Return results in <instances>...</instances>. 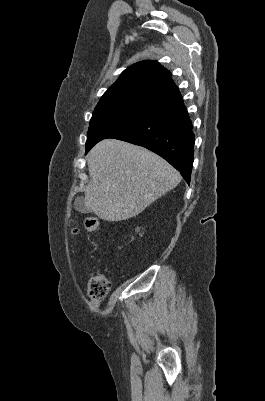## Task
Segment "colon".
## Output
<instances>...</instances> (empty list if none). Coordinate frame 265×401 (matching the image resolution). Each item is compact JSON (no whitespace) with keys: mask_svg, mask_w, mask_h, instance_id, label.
<instances>
[{"mask_svg":"<svg viewBox=\"0 0 265 401\" xmlns=\"http://www.w3.org/2000/svg\"><path fill=\"white\" fill-rule=\"evenodd\" d=\"M85 229L94 233L99 228V220L94 216H89L84 221ZM71 233L73 236L78 234V229L76 227L72 228ZM111 290V281L104 274L93 275L87 287L88 297L92 304H98L101 302Z\"/></svg>","mask_w":265,"mask_h":401,"instance_id":"colon-1","label":"colon"}]
</instances>
